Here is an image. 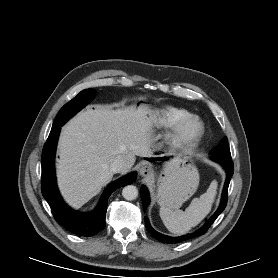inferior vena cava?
Listing matches in <instances>:
<instances>
[{
    "mask_svg": "<svg viewBox=\"0 0 278 278\" xmlns=\"http://www.w3.org/2000/svg\"><path fill=\"white\" fill-rule=\"evenodd\" d=\"M127 168V164L123 157L118 156L110 165V169L113 173H120Z\"/></svg>",
    "mask_w": 278,
    "mask_h": 278,
    "instance_id": "obj_1",
    "label": "inferior vena cava"
}]
</instances>
